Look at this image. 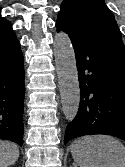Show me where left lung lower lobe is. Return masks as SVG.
I'll return each mask as SVG.
<instances>
[{
  "label": "left lung lower lobe",
  "instance_id": "obj_1",
  "mask_svg": "<svg viewBox=\"0 0 125 167\" xmlns=\"http://www.w3.org/2000/svg\"><path fill=\"white\" fill-rule=\"evenodd\" d=\"M72 42L80 105L67 126L64 143L84 135L106 134L125 140V49L113 31L71 33L56 22Z\"/></svg>",
  "mask_w": 125,
  "mask_h": 167
}]
</instances>
